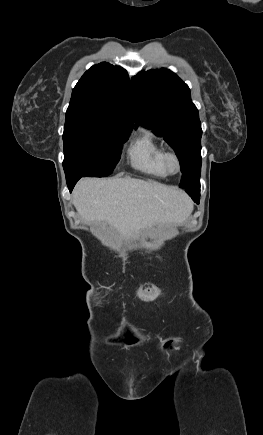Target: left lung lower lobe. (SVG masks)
I'll use <instances>...</instances> for the list:
<instances>
[{
  "mask_svg": "<svg viewBox=\"0 0 263 435\" xmlns=\"http://www.w3.org/2000/svg\"><path fill=\"white\" fill-rule=\"evenodd\" d=\"M185 191L194 200V202L199 204V200H200V185H198L196 187H192V188H185Z\"/></svg>",
  "mask_w": 263,
  "mask_h": 435,
  "instance_id": "left-lung-lower-lobe-1",
  "label": "left lung lower lobe"
}]
</instances>
